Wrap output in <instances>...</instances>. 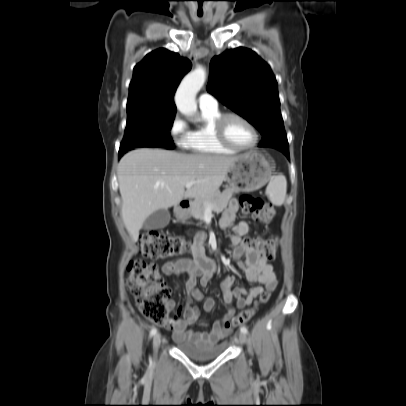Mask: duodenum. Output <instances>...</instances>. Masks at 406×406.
I'll use <instances>...</instances> for the list:
<instances>
[{"instance_id": "obj_1", "label": "duodenum", "mask_w": 406, "mask_h": 406, "mask_svg": "<svg viewBox=\"0 0 406 406\" xmlns=\"http://www.w3.org/2000/svg\"><path fill=\"white\" fill-rule=\"evenodd\" d=\"M190 206H191L190 201L184 199V200H181V201L178 202L176 208H177V211H178V212H182V211H185V210H187L188 208H190Z\"/></svg>"}]
</instances>
